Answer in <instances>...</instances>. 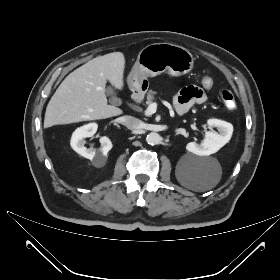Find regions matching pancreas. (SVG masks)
<instances>
[{
  "label": "pancreas",
  "mask_w": 280,
  "mask_h": 280,
  "mask_svg": "<svg viewBox=\"0 0 280 280\" xmlns=\"http://www.w3.org/2000/svg\"><path fill=\"white\" fill-rule=\"evenodd\" d=\"M155 91H152V90H149L148 91V93H147V97H146V99H147V104L148 105H150L152 102H153V100L155 99Z\"/></svg>",
  "instance_id": "pancreas-1"
}]
</instances>
